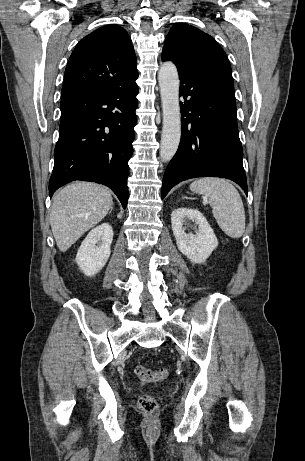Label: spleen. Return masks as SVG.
<instances>
[{
	"mask_svg": "<svg viewBox=\"0 0 305 461\" xmlns=\"http://www.w3.org/2000/svg\"><path fill=\"white\" fill-rule=\"evenodd\" d=\"M190 190L205 195L222 231L231 238H240L245 231V211L237 189L222 178H200Z\"/></svg>",
	"mask_w": 305,
	"mask_h": 461,
	"instance_id": "spleen-1",
	"label": "spleen"
}]
</instances>
